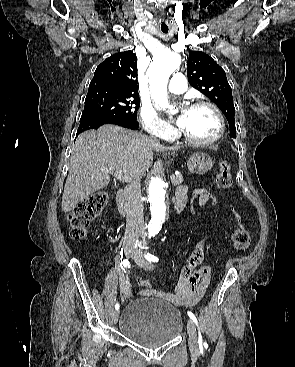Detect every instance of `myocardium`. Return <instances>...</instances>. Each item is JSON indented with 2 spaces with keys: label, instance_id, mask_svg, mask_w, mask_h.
I'll return each instance as SVG.
<instances>
[{
  "label": "myocardium",
  "instance_id": "obj_1",
  "mask_svg": "<svg viewBox=\"0 0 295 367\" xmlns=\"http://www.w3.org/2000/svg\"><path fill=\"white\" fill-rule=\"evenodd\" d=\"M197 107H208L210 108L216 115L218 123H219V128L217 133L210 139H206V140H197L193 137H191L190 135H188L186 132H184L182 129L179 130V134L181 135V137L188 143L194 145V146H209L212 145L214 143H216L217 141H219L224 132H225V120H224V116L222 114V112L220 111V109L212 102L207 101V100H199L194 102L190 108H197Z\"/></svg>",
  "mask_w": 295,
  "mask_h": 367
}]
</instances>
